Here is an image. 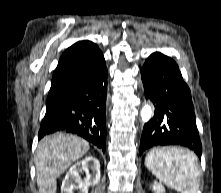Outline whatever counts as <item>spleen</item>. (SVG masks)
<instances>
[{
    "label": "spleen",
    "instance_id": "obj_1",
    "mask_svg": "<svg viewBox=\"0 0 221 193\" xmlns=\"http://www.w3.org/2000/svg\"><path fill=\"white\" fill-rule=\"evenodd\" d=\"M145 165L161 182L180 193H196L199 168L196 155L182 148L154 146Z\"/></svg>",
    "mask_w": 221,
    "mask_h": 193
}]
</instances>
